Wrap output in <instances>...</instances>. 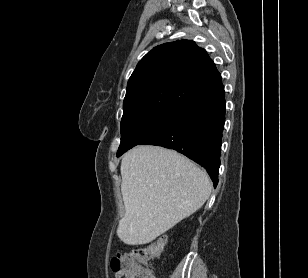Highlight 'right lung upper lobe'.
<instances>
[{"mask_svg":"<svg viewBox=\"0 0 308 278\" xmlns=\"http://www.w3.org/2000/svg\"><path fill=\"white\" fill-rule=\"evenodd\" d=\"M223 87L207 52L190 40L153 48L132 73L122 119L154 110L179 111Z\"/></svg>","mask_w":308,"mask_h":278,"instance_id":"right-lung-upper-lobe-1","label":"right lung upper lobe"}]
</instances>
